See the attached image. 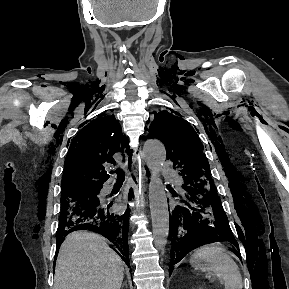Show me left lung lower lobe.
I'll list each match as a JSON object with an SVG mask.
<instances>
[{
    "label": "left lung lower lobe",
    "mask_w": 289,
    "mask_h": 289,
    "mask_svg": "<svg viewBox=\"0 0 289 289\" xmlns=\"http://www.w3.org/2000/svg\"><path fill=\"white\" fill-rule=\"evenodd\" d=\"M172 194L177 200L169 210V235L172 241L169 272L187 253L199 247L198 240L203 237L229 241L238 248L214 186L184 183L181 194Z\"/></svg>",
    "instance_id": "0a47b994"
}]
</instances>
